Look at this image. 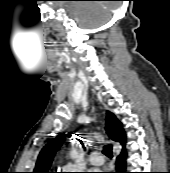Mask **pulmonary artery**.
Masks as SVG:
<instances>
[{"mask_svg": "<svg viewBox=\"0 0 170 173\" xmlns=\"http://www.w3.org/2000/svg\"><path fill=\"white\" fill-rule=\"evenodd\" d=\"M89 162L94 166H101L104 163V158L99 152L94 151L89 155Z\"/></svg>", "mask_w": 170, "mask_h": 173, "instance_id": "obj_1", "label": "pulmonary artery"}]
</instances>
